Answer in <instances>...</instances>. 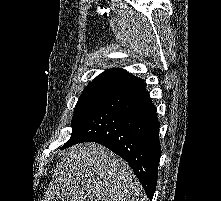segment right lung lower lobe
I'll use <instances>...</instances> for the list:
<instances>
[{"instance_id": "obj_1", "label": "right lung lower lobe", "mask_w": 221, "mask_h": 201, "mask_svg": "<svg viewBox=\"0 0 221 201\" xmlns=\"http://www.w3.org/2000/svg\"><path fill=\"white\" fill-rule=\"evenodd\" d=\"M82 142L99 143L126 160L152 199L161 156L159 121L143 80L118 89L61 149Z\"/></svg>"}]
</instances>
